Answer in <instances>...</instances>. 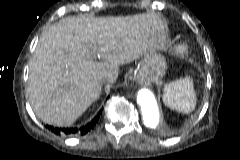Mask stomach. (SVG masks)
Here are the masks:
<instances>
[{"mask_svg": "<svg viewBox=\"0 0 240 160\" xmlns=\"http://www.w3.org/2000/svg\"><path fill=\"white\" fill-rule=\"evenodd\" d=\"M167 63L165 58L156 53L148 52L144 55L141 70L153 80H159L165 75Z\"/></svg>", "mask_w": 240, "mask_h": 160, "instance_id": "1", "label": "stomach"}]
</instances>
